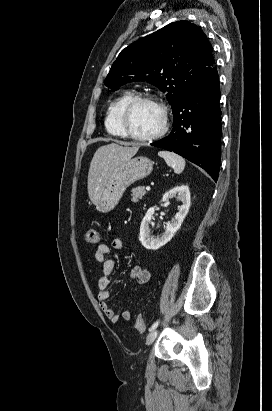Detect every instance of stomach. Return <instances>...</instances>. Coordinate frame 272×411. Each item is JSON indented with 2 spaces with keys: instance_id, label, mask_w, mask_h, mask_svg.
<instances>
[{
  "instance_id": "obj_1",
  "label": "stomach",
  "mask_w": 272,
  "mask_h": 411,
  "mask_svg": "<svg viewBox=\"0 0 272 411\" xmlns=\"http://www.w3.org/2000/svg\"><path fill=\"white\" fill-rule=\"evenodd\" d=\"M153 170V162L143 156L130 158L118 165L104 185L97 204L99 212L113 210L122 198L126 188L134 182L147 177Z\"/></svg>"
}]
</instances>
